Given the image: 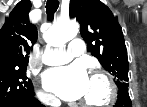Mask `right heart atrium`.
<instances>
[{"mask_svg": "<svg viewBox=\"0 0 147 107\" xmlns=\"http://www.w3.org/2000/svg\"><path fill=\"white\" fill-rule=\"evenodd\" d=\"M35 95L43 103H46V104H54L55 103L54 97L42 89H37Z\"/></svg>", "mask_w": 147, "mask_h": 107, "instance_id": "obj_1", "label": "right heart atrium"}]
</instances>
